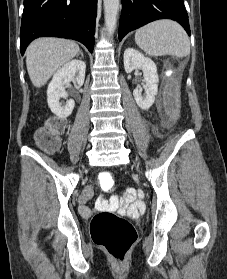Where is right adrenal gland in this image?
Instances as JSON below:
<instances>
[{
  "label": "right adrenal gland",
  "mask_w": 227,
  "mask_h": 279,
  "mask_svg": "<svg viewBox=\"0 0 227 279\" xmlns=\"http://www.w3.org/2000/svg\"><path fill=\"white\" fill-rule=\"evenodd\" d=\"M79 55H81V57H84V55H83L82 51H80V52H79Z\"/></svg>",
  "instance_id": "right-adrenal-gland-1"
}]
</instances>
